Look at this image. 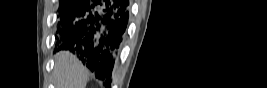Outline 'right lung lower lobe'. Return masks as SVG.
Returning <instances> with one entry per match:
<instances>
[{
	"mask_svg": "<svg viewBox=\"0 0 267 88\" xmlns=\"http://www.w3.org/2000/svg\"><path fill=\"white\" fill-rule=\"evenodd\" d=\"M129 11V0L69 1L59 12L60 49L76 52L98 79L110 83Z\"/></svg>",
	"mask_w": 267,
	"mask_h": 88,
	"instance_id": "98d812e1",
	"label": "right lung lower lobe"
}]
</instances>
